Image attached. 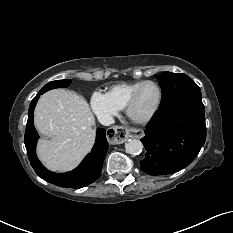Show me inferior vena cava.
I'll list each match as a JSON object with an SVG mask.
<instances>
[{
    "instance_id": "1",
    "label": "inferior vena cava",
    "mask_w": 233,
    "mask_h": 233,
    "mask_svg": "<svg viewBox=\"0 0 233 233\" xmlns=\"http://www.w3.org/2000/svg\"><path fill=\"white\" fill-rule=\"evenodd\" d=\"M99 122L104 126H109L111 124H114V119L109 114H102L98 117Z\"/></svg>"
}]
</instances>
